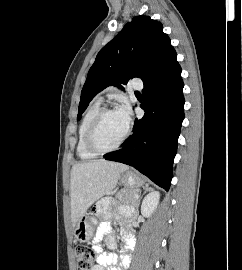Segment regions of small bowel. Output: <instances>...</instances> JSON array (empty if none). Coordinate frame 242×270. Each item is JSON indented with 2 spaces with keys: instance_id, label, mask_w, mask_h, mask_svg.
I'll return each instance as SVG.
<instances>
[{
  "instance_id": "small-bowel-1",
  "label": "small bowel",
  "mask_w": 242,
  "mask_h": 270,
  "mask_svg": "<svg viewBox=\"0 0 242 270\" xmlns=\"http://www.w3.org/2000/svg\"><path fill=\"white\" fill-rule=\"evenodd\" d=\"M106 219L103 220L96 231L92 240V248L96 254L97 265L93 270H104V266H110L109 270H126L129 259L126 256H119L115 253H106L103 251L100 242L105 238V243L108 249L114 250L117 247V241L112 233V215L111 213H104ZM118 220H124V227L122 230L124 250L130 251L134 247V238L130 232L129 212L123 210L122 213L115 216Z\"/></svg>"
}]
</instances>
